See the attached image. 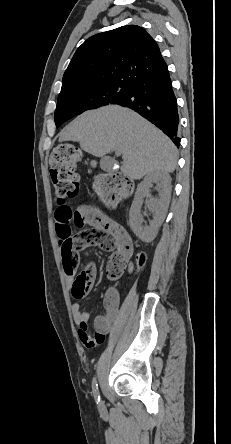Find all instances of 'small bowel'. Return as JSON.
Returning <instances> with one entry per match:
<instances>
[{
  "mask_svg": "<svg viewBox=\"0 0 231 444\" xmlns=\"http://www.w3.org/2000/svg\"><path fill=\"white\" fill-rule=\"evenodd\" d=\"M78 213L85 218V223L93 225V228L83 230L77 234L72 232L73 216ZM55 226L60 243L61 254L65 251H74L77 254L86 247L98 246L103 250L115 249L125 251L129 257L133 251L132 240L126 230L112 218L102 213L92 204L86 203L79 207L73 214L69 205L61 200L55 210ZM65 273L70 280L75 277V270L65 268ZM106 313L96 316L94 320V332L88 328L89 314L80 309L75 302L71 307L73 319L77 326L80 341L87 347H95L104 341L114 325L121 307V297L115 287H109L103 299Z\"/></svg>",
  "mask_w": 231,
  "mask_h": 444,
  "instance_id": "c3829d8e",
  "label": "small bowel"
}]
</instances>
